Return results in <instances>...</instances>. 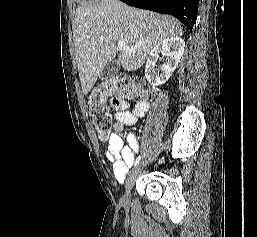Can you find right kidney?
<instances>
[{"mask_svg": "<svg viewBox=\"0 0 257 237\" xmlns=\"http://www.w3.org/2000/svg\"><path fill=\"white\" fill-rule=\"evenodd\" d=\"M184 47L185 42L182 38L172 37L159 42L152 48L145 66V77L151 85L158 86L168 81L180 62ZM160 54L166 55L168 61L162 65L159 72L155 66Z\"/></svg>", "mask_w": 257, "mask_h": 237, "instance_id": "right-kidney-1", "label": "right kidney"}]
</instances>
